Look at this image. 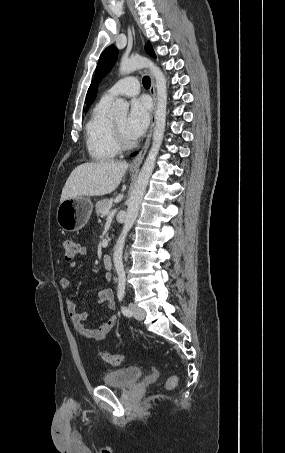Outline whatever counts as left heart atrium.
I'll return each mask as SVG.
<instances>
[{
    "mask_svg": "<svg viewBox=\"0 0 285 453\" xmlns=\"http://www.w3.org/2000/svg\"><path fill=\"white\" fill-rule=\"evenodd\" d=\"M150 105L144 98L134 99L131 102L130 112L126 120V132L132 139L143 135L148 127Z\"/></svg>",
    "mask_w": 285,
    "mask_h": 453,
    "instance_id": "left-heart-atrium-1",
    "label": "left heart atrium"
}]
</instances>
